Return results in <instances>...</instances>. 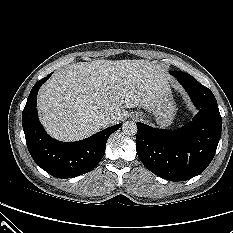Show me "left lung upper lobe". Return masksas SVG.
I'll return each mask as SVG.
<instances>
[{"mask_svg": "<svg viewBox=\"0 0 233 233\" xmlns=\"http://www.w3.org/2000/svg\"><path fill=\"white\" fill-rule=\"evenodd\" d=\"M171 74L175 77H179V76H191L185 72H180V71H172Z\"/></svg>", "mask_w": 233, "mask_h": 233, "instance_id": "left-lung-upper-lobe-1", "label": "left lung upper lobe"}]
</instances>
